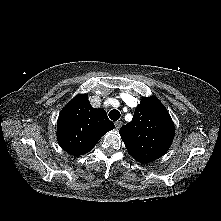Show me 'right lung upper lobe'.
<instances>
[{
	"instance_id": "cb5924a9",
	"label": "right lung upper lobe",
	"mask_w": 221,
	"mask_h": 221,
	"mask_svg": "<svg viewBox=\"0 0 221 221\" xmlns=\"http://www.w3.org/2000/svg\"><path fill=\"white\" fill-rule=\"evenodd\" d=\"M103 109L91 106L86 94L77 95L59 114L57 138L68 153H88L108 131L114 129Z\"/></svg>"
}]
</instances>
